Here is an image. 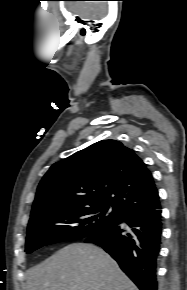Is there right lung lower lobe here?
<instances>
[{
    "label": "right lung lower lobe",
    "instance_id": "right-lung-lower-lobe-1",
    "mask_svg": "<svg viewBox=\"0 0 187 290\" xmlns=\"http://www.w3.org/2000/svg\"><path fill=\"white\" fill-rule=\"evenodd\" d=\"M161 238V206H156L122 213L115 224L90 235L85 242L108 252L140 290H157Z\"/></svg>",
    "mask_w": 187,
    "mask_h": 290
}]
</instances>
